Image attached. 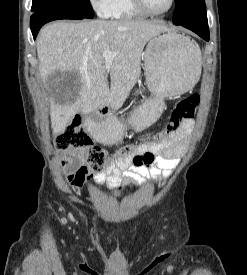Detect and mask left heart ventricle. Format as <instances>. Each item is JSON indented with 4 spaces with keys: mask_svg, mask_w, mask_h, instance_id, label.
I'll return each instance as SVG.
<instances>
[{
    "mask_svg": "<svg viewBox=\"0 0 247 275\" xmlns=\"http://www.w3.org/2000/svg\"><path fill=\"white\" fill-rule=\"evenodd\" d=\"M147 6L153 11H163L168 8L170 0H145Z\"/></svg>",
    "mask_w": 247,
    "mask_h": 275,
    "instance_id": "b2bd125f",
    "label": "left heart ventricle"
}]
</instances>
